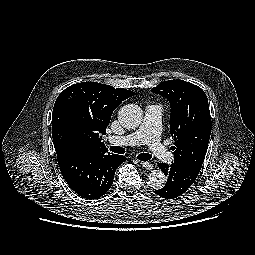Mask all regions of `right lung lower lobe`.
I'll list each match as a JSON object with an SVG mask.
<instances>
[{
    "label": "right lung lower lobe",
    "mask_w": 255,
    "mask_h": 255,
    "mask_svg": "<svg viewBox=\"0 0 255 255\" xmlns=\"http://www.w3.org/2000/svg\"><path fill=\"white\" fill-rule=\"evenodd\" d=\"M60 171L69 187L80 197L96 199L111 187L117 167L126 157L116 154L57 156Z\"/></svg>",
    "instance_id": "obj_1"
}]
</instances>
